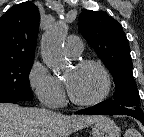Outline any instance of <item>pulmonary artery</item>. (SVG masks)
Instances as JSON below:
<instances>
[{
    "label": "pulmonary artery",
    "mask_w": 144,
    "mask_h": 137,
    "mask_svg": "<svg viewBox=\"0 0 144 137\" xmlns=\"http://www.w3.org/2000/svg\"><path fill=\"white\" fill-rule=\"evenodd\" d=\"M83 49V43L80 38L74 35L67 37L65 41V50L69 56H78Z\"/></svg>",
    "instance_id": "obj_1"
}]
</instances>
